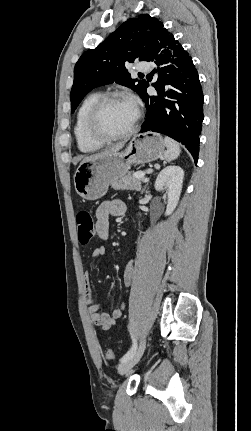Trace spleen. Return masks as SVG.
<instances>
[{
  "label": "spleen",
  "mask_w": 251,
  "mask_h": 431,
  "mask_svg": "<svg viewBox=\"0 0 251 431\" xmlns=\"http://www.w3.org/2000/svg\"><path fill=\"white\" fill-rule=\"evenodd\" d=\"M164 144L166 147V151L164 152V159L166 162H170L180 155V146L173 139L165 137Z\"/></svg>",
  "instance_id": "obj_1"
}]
</instances>
